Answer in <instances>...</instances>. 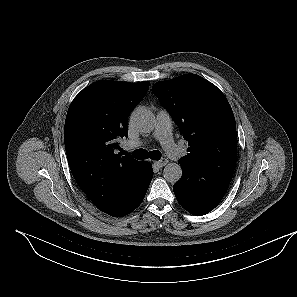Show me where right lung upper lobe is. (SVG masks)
Wrapping results in <instances>:
<instances>
[{
    "mask_svg": "<svg viewBox=\"0 0 297 297\" xmlns=\"http://www.w3.org/2000/svg\"><path fill=\"white\" fill-rule=\"evenodd\" d=\"M149 82L99 80L72 101L64 141L71 172L102 212L120 204L145 174L144 161L117 154V140L128 136L127 120L144 98Z\"/></svg>",
    "mask_w": 297,
    "mask_h": 297,
    "instance_id": "obj_1",
    "label": "right lung upper lobe"
}]
</instances>
